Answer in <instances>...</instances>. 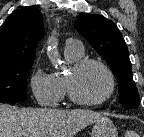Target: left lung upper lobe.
<instances>
[{"mask_svg": "<svg viewBox=\"0 0 144 137\" xmlns=\"http://www.w3.org/2000/svg\"><path fill=\"white\" fill-rule=\"evenodd\" d=\"M76 30L107 61L118 81L123 107L137 108L140 98L133 81L128 49L117 26L98 14H80Z\"/></svg>", "mask_w": 144, "mask_h": 137, "instance_id": "obj_1", "label": "left lung upper lobe"}]
</instances>
